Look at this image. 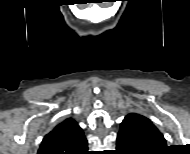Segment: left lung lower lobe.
Instances as JSON below:
<instances>
[{"label":"left lung lower lobe","instance_id":"obj_1","mask_svg":"<svg viewBox=\"0 0 190 154\" xmlns=\"http://www.w3.org/2000/svg\"><path fill=\"white\" fill-rule=\"evenodd\" d=\"M166 145L152 122L139 114H128L120 126L117 150L124 154H149Z\"/></svg>","mask_w":190,"mask_h":154}]
</instances>
